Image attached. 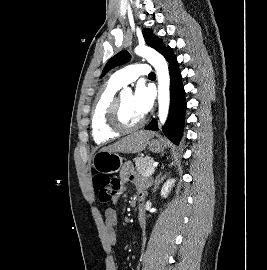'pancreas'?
<instances>
[{"label":"pancreas","instance_id":"1","mask_svg":"<svg viewBox=\"0 0 267 270\" xmlns=\"http://www.w3.org/2000/svg\"><path fill=\"white\" fill-rule=\"evenodd\" d=\"M137 172L145 176V174L152 168L154 160L151 157H137L134 159Z\"/></svg>","mask_w":267,"mask_h":270}]
</instances>
